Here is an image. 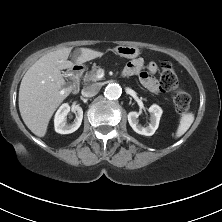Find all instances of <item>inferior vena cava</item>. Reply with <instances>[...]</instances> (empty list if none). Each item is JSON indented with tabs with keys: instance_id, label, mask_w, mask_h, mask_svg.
Segmentation results:
<instances>
[{
	"instance_id": "obj_1",
	"label": "inferior vena cava",
	"mask_w": 222,
	"mask_h": 222,
	"mask_svg": "<svg viewBox=\"0 0 222 222\" xmlns=\"http://www.w3.org/2000/svg\"><path fill=\"white\" fill-rule=\"evenodd\" d=\"M99 84H91L82 89L81 93L84 97H92L95 96L100 91Z\"/></svg>"
}]
</instances>
